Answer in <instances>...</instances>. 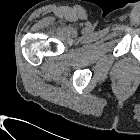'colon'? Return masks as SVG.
<instances>
[{"instance_id":"5ec220e1","label":"colon","mask_w":140,"mask_h":140,"mask_svg":"<svg viewBox=\"0 0 140 140\" xmlns=\"http://www.w3.org/2000/svg\"><path fill=\"white\" fill-rule=\"evenodd\" d=\"M129 88V83L127 81L121 80L117 83V89L120 92H124L127 91Z\"/></svg>"}]
</instances>
